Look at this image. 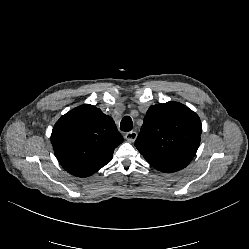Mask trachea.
Returning <instances> with one entry per match:
<instances>
[{"label": "trachea", "mask_w": 249, "mask_h": 249, "mask_svg": "<svg viewBox=\"0 0 249 249\" xmlns=\"http://www.w3.org/2000/svg\"><path fill=\"white\" fill-rule=\"evenodd\" d=\"M132 127H133V123H132L131 118L129 116H125L121 120L120 129L122 131L129 132L132 130Z\"/></svg>", "instance_id": "1"}]
</instances>
